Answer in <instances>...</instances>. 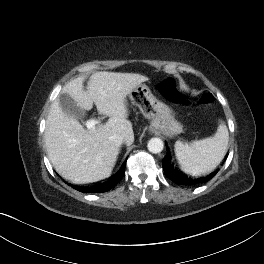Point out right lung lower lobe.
<instances>
[{"instance_id":"98d812e1","label":"right lung lower lobe","mask_w":264,"mask_h":264,"mask_svg":"<svg viewBox=\"0 0 264 264\" xmlns=\"http://www.w3.org/2000/svg\"><path fill=\"white\" fill-rule=\"evenodd\" d=\"M126 164V163H125ZM125 171V165L123 168L114 176L109 178L106 182L101 184H96L91 187H75L78 191L84 192V193H92V192H106L110 189L114 188L117 183L122 179Z\"/></svg>"}]
</instances>
